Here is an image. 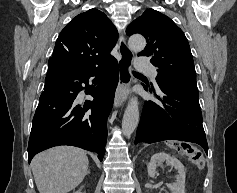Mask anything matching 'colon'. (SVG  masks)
I'll use <instances>...</instances> for the list:
<instances>
[{"instance_id": "1", "label": "colon", "mask_w": 237, "mask_h": 193, "mask_svg": "<svg viewBox=\"0 0 237 193\" xmlns=\"http://www.w3.org/2000/svg\"><path fill=\"white\" fill-rule=\"evenodd\" d=\"M179 150L186 154L190 160L199 168L203 169L205 165V157L202 151L190 146V145H181Z\"/></svg>"}]
</instances>
